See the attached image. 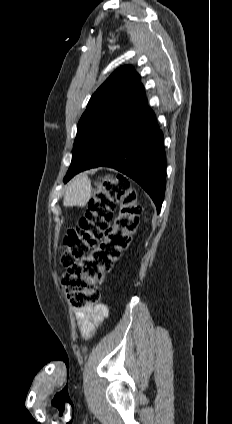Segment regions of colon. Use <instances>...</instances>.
Returning <instances> with one entry per match:
<instances>
[{
  "mask_svg": "<svg viewBox=\"0 0 232 424\" xmlns=\"http://www.w3.org/2000/svg\"><path fill=\"white\" fill-rule=\"evenodd\" d=\"M141 213L138 194L127 181L108 174L95 179L88 209L65 236L61 254L62 285L73 307L82 310L98 302V286L129 246Z\"/></svg>",
  "mask_w": 232,
  "mask_h": 424,
  "instance_id": "colon-1",
  "label": "colon"
}]
</instances>
